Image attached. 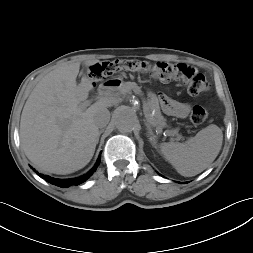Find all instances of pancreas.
Listing matches in <instances>:
<instances>
[{"label":"pancreas","instance_id":"pancreas-1","mask_svg":"<svg viewBox=\"0 0 253 253\" xmlns=\"http://www.w3.org/2000/svg\"><path fill=\"white\" fill-rule=\"evenodd\" d=\"M131 90L140 92V88L133 82H126L124 83L119 91L116 93V97H125L127 94H130ZM150 112L155 111L154 114V120L159 127H165L166 126V120L161 115L160 107H159V100L155 93L149 92L148 98L146 101Z\"/></svg>","mask_w":253,"mask_h":253}]
</instances>
